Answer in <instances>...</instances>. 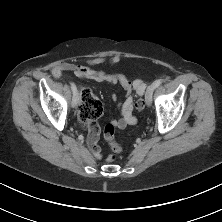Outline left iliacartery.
<instances>
[{"label":"left iliac artery","instance_id":"left-iliac-artery-1","mask_svg":"<svg viewBox=\"0 0 222 222\" xmlns=\"http://www.w3.org/2000/svg\"><path fill=\"white\" fill-rule=\"evenodd\" d=\"M161 83H162V80H161V79L156 80V81L153 83V88L156 89L158 86H160Z\"/></svg>","mask_w":222,"mask_h":222}]
</instances>
